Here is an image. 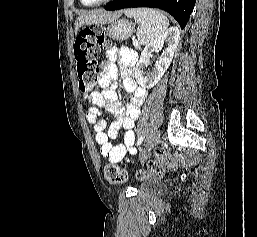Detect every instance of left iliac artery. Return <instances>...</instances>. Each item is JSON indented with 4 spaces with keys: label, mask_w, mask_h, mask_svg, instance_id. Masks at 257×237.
<instances>
[{
    "label": "left iliac artery",
    "mask_w": 257,
    "mask_h": 237,
    "mask_svg": "<svg viewBox=\"0 0 257 237\" xmlns=\"http://www.w3.org/2000/svg\"><path fill=\"white\" fill-rule=\"evenodd\" d=\"M142 142H143V136H140V137L138 138V140H137L136 145L139 146V145H141Z\"/></svg>",
    "instance_id": "obj_1"
}]
</instances>
